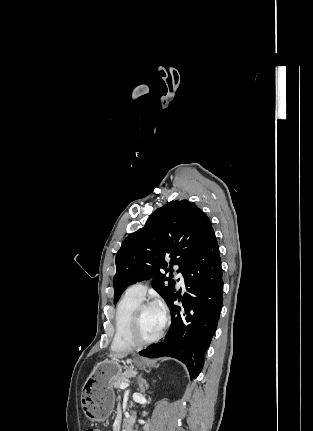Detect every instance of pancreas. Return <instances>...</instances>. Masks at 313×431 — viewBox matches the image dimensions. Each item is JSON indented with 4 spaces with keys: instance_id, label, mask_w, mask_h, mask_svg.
Here are the masks:
<instances>
[{
    "instance_id": "obj_1",
    "label": "pancreas",
    "mask_w": 313,
    "mask_h": 431,
    "mask_svg": "<svg viewBox=\"0 0 313 431\" xmlns=\"http://www.w3.org/2000/svg\"><path fill=\"white\" fill-rule=\"evenodd\" d=\"M134 375V372L132 370L127 371L126 373L118 376L115 381L113 382V386L115 389L119 390L120 385L122 383L128 382V378Z\"/></svg>"
}]
</instances>
